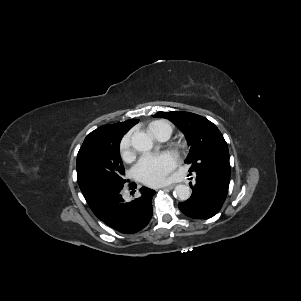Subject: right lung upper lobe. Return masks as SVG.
Returning a JSON list of instances; mask_svg holds the SVG:
<instances>
[{
	"instance_id": "obj_1",
	"label": "right lung upper lobe",
	"mask_w": 301,
	"mask_h": 301,
	"mask_svg": "<svg viewBox=\"0 0 301 301\" xmlns=\"http://www.w3.org/2000/svg\"><path fill=\"white\" fill-rule=\"evenodd\" d=\"M137 122L138 119H131L125 122H118L112 125H104L91 132L87 137L99 135L110 140H121L123 135Z\"/></svg>"
}]
</instances>
